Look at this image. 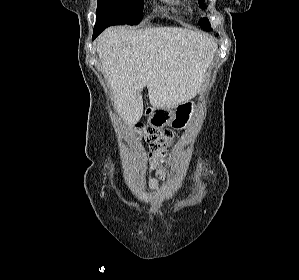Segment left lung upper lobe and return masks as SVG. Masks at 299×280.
<instances>
[{
	"mask_svg": "<svg viewBox=\"0 0 299 280\" xmlns=\"http://www.w3.org/2000/svg\"><path fill=\"white\" fill-rule=\"evenodd\" d=\"M200 2H203L202 0H200ZM201 8L204 9L205 8V5L203 3H201ZM199 25L202 29L206 30V31H211L212 28H211V25L208 21L207 18H203L199 21ZM218 35V34H217Z\"/></svg>",
	"mask_w": 299,
	"mask_h": 280,
	"instance_id": "1",
	"label": "left lung upper lobe"
}]
</instances>
